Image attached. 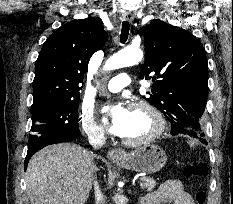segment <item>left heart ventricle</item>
<instances>
[{"label": "left heart ventricle", "mask_w": 233, "mask_h": 204, "mask_svg": "<svg viewBox=\"0 0 233 204\" xmlns=\"http://www.w3.org/2000/svg\"><path fill=\"white\" fill-rule=\"evenodd\" d=\"M155 128L151 115L144 109H129L128 121L121 137L126 139H140L149 135Z\"/></svg>", "instance_id": "b2bd125f"}]
</instances>
